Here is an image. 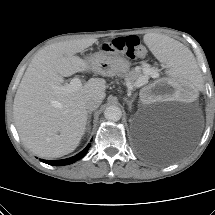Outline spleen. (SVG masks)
Masks as SVG:
<instances>
[{
    "mask_svg": "<svg viewBox=\"0 0 215 215\" xmlns=\"http://www.w3.org/2000/svg\"><path fill=\"white\" fill-rule=\"evenodd\" d=\"M145 43L157 58L166 63L167 68L171 70L169 72L171 76L191 84L199 82L197 63L180 43L168 38L161 39L152 36L146 37Z\"/></svg>",
    "mask_w": 215,
    "mask_h": 215,
    "instance_id": "obj_1",
    "label": "spleen"
}]
</instances>
